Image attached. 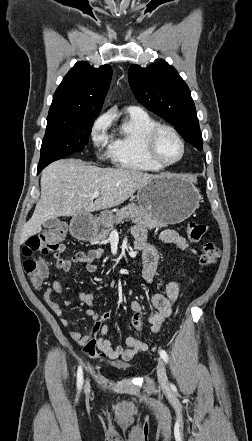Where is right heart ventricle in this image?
<instances>
[{
  "label": "right heart ventricle",
  "instance_id": "e07e8e85",
  "mask_svg": "<svg viewBox=\"0 0 252 441\" xmlns=\"http://www.w3.org/2000/svg\"><path fill=\"white\" fill-rule=\"evenodd\" d=\"M157 121L144 111H129L114 131L111 141L113 161L120 167L140 171L158 172L162 168L153 163L145 151V136Z\"/></svg>",
  "mask_w": 252,
  "mask_h": 441
}]
</instances>
